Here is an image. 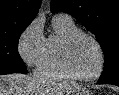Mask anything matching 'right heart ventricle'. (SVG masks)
Here are the masks:
<instances>
[{
    "label": "right heart ventricle",
    "mask_w": 119,
    "mask_h": 95,
    "mask_svg": "<svg viewBox=\"0 0 119 95\" xmlns=\"http://www.w3.org/2000/svg\"><path fill=\"white\" fill-rule=\"evenodd\" d=\"M52 25L53 33L45 38L44 48L37 65V73L50 78H72L63 67L61 49L65 38L79 29L73 20L59 17L53 18Z\"/></svg>",
    "instance_id": "obj_1"
}]
</instances>
